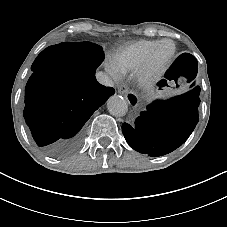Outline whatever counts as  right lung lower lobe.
<instances>
[{
	"mask_svg": "<svg viewBox=\"0 0 227 227\" xmlns=\"http://www.w3.org/2000/svg\"><path fill=\"white\" fill-rule=\"evenodd\" d=\"M32 68L36 70L25 89V121L47 155L67 156L79 148L80 130L114 89L96 81V69L80 65L70 42L47 47Z\"/></svg>",
	"mask_w": 227,
	"mask_h": 227,
	"instance_id": "right-lung-lower-lobe-1",
	"label": "right lung lower lobe"
}]
</instances>
